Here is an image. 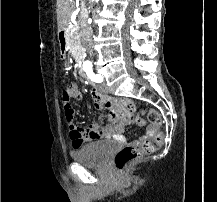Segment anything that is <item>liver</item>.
Instances as JSON below:
<instances>
[{
  "label": "liver",
  "instance_id": "1",
  "mask_svg": "<svg viewBox=\"0 0 217 202\" xmlns=\"http://www.w3.org/2000/svg\"><path fill=\"white\" fill-rule=\"evenodd\" d=\"M74 8V0H57L56 12L59 32H61L63 28H66V26H68Z\"/></svg>",
  "mask_w": 217,
  "mask_h": 202
}]
</instances>
